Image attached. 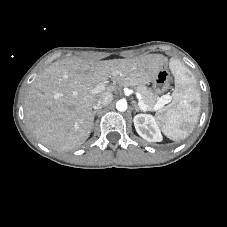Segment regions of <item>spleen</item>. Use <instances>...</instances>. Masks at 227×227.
Listing matches in <instances>:
<instances>
[{"label":"spleen","instance_id":"spleen-1","mask_svg":"<svg viewBox=\"0 0 227 227\" xmlns=\"http://www.w3.org/2000/svg\"><path fill=\"white\" fill-rule=\"evenodd\" d=\"M170 68L176 83L173 102L157 114V120L165 136L179 141L188 137L198 121L200 93L195 78L180 61L172 60Z\"/></svg>","mask_w":227,"mask_h":227}]
</instances>
